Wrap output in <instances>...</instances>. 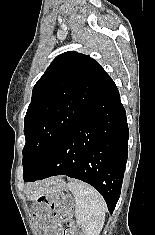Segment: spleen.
I'll return each instance as SVG.
<instances>
[{"instance_id":"1","label":"spleen","mask_w":155,"mask_h":235,"mask_svg":"<svg viewBox=\"0 0 155 235\" xmlns=\"http://www.w3.org/2000/svg\"><path fill=\"white\" fill-rule=\"evenodd\" d=\"M67 187L75 198L78 225L84 229L85 235H99L104 226L107 209L104 198L83 182L71 181Z\"/></svg>"}]
</instances>
